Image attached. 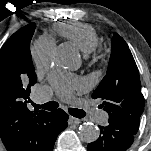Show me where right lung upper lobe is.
Masks as SVG:
<instances>
[{
	"instance_id": "obj_1",
	"label": "right lung upper lobe",
	"mask_w": 151,
	"mask_h": 151,
	"mask_svg": "<svg viewBox=\"0 0 151 151\" xmlns=\"http://www.w3.org/2000/svg\"><path fill=\"white\" fill-rule=\"evenodd\" d=\"M0 89V137L8 151H49V112L30 111V87Z\"/></svg>"
}]
</instances>
